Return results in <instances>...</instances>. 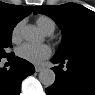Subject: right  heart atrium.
Here are the masks:
<instances>
[{"label":"right heart atrium","mask_w":95,"mask_h":95,"mask_svg":"<svg viewBox=\"0 0 95 95\" xmlns=\"http://www.w3.org/2000/svg\"><path fill=\"white\" fill-rule=\"evenodd\" d=\"M23 26V21L18 22L11 31V39L13 42H19L21 39V29Z\"/></svg>","instance_id":"obj_1"}]
</instances>
